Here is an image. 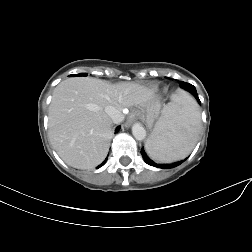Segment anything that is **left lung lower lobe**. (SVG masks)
Segmentation results:
<instances>
[{
	"label": "left lung lower lobe",
	"mask_w": 252,
	"mask_h": 252,
	"mask_svg": "<svg viewBox=\"0 0 252 252\" xmlns=\"http://www.w3.org/2000/svg\"><path fill=\"white\" fill-rule=\"evenodd\" d=\"M180 85H181V87L183 89L188 90L189 92H191L195 96L197 101L200 103V100H199L198 95H197L196 88L193 85H191L189 83H185V82H180ZM141 154H142V156H143V158H144V160H145V162L147 164H149L151 166L158 167V168H164V169L165 168H167V169L174 168V167L180 165L181 163H183L185 161V160H182V161H178V162H175V163H172V164H157L147 156V154L145 153L143 148L141 149Z\"/></svg>",
	"instance_id": "obj_1"
}]
</instances>
